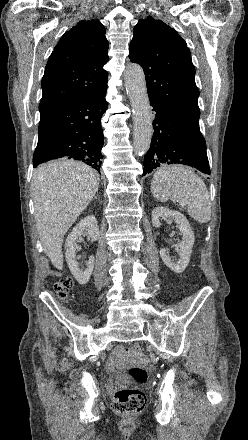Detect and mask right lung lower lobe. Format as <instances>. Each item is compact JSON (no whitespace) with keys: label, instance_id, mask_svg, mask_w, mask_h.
Instances as JSON below:
<instances>
[{"label":"right lung lower lobe","instance_id":"obj_1","mask_svg":"<svg viewBox=\"0 0 248 440\" xmlns=\"http://www.w3.org/2000/svg\"><path fill=\"white\" fill-rule=\"evenodd\" d=\"M106 90L74 98L40 113L33 167L52 159L81 160L100 172L104 136L101 117L107 109Z\"/></svg>","mask_w":248,"mask_h":440}]
</instances>
